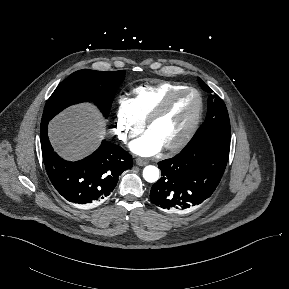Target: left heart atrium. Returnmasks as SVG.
<instances>
[{
  "instance_id": "39dd6f15",
  "label": "left heart atrium",
  "mask_w": 289,
  "mask_h": 289,
  "mask_svg": "<svg viewBox=\"0 0 289 289\" xmlns=\"http://www.w3.org/2000/svg\"><path fill=\"white\" fill-rule=\"evenodd\" d=\"M130 148L141 156H151L162 148V144L149 131L131 143Z\"/></svg>"
}]
</instances>
